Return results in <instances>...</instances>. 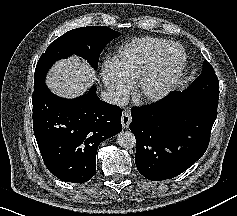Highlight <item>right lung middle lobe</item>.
Masks as SVG:
<instances>
[{
	"label": "right lung middle lobe",
	"instance_id": "obj_1",
	"mask_svg": "<svg viewBox=\"0 0 237 216\" xmlns=\"http://www.w3.org/2000/svg\"><path fill=\"white\" fill-rule=\"evenodd\" d=\"M119 35L106 26L81 27L66 32L41 55L35 69L34 90L44 84L45 75L54 62L73 54L83 57L96 70L103 48Z\"/></svg>",
	"mask_w": 237,
	"mask_h": 216
}]
</instances>
